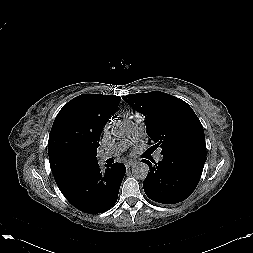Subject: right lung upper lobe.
<instances>
[{
  "mask_svg": "<svg viewBox=\"0 0 253 253\" xmlns=\"http://www.w3.org/2000/svg\"><path fill=\"white\" fill-rule=\"evenodd\" d=\"M120 100L113 95L82 94L59 111L48 141L49 162L56 183L97 162L102 128Z\"/></svg>",
  "mask_w": 253,
  "mask_h": 253,
  "instance_id": "cb5924a9",
  "label": "right lung upper lobe"
}]
</instances>
